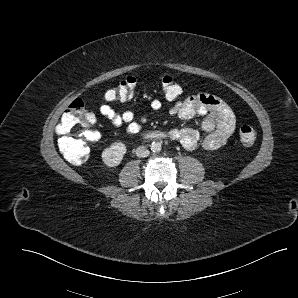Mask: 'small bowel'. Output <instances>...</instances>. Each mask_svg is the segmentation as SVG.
<instances>
[{"mask_svg":"<svg viewBox=\"0 0 298 298\" xmlns=\"http://www.w3.org/2000/svg\"><path fill=\"white\" fill-rule=\"evenodd\" d=\"M149 107L154 112H160L163 104L159 99H153ZM98 111L114 126L125 125L129 134L140 132L148 121V117L139 111L126 110L120 113L107 103L100 104ZM167 113L182 120H190L195 116L203 118L200 129L186 127L169 131V136L187 150H193L199 145L207 150H217L226 144L236 126L235 115L229 105L209 93H197L178 100ZM201 133L205 135L202 137Z\"/></svg>","mask_w":298,"mask_h":298,"instance_id":"small-bowel-1","label":"small bowel"}]
</instances>
